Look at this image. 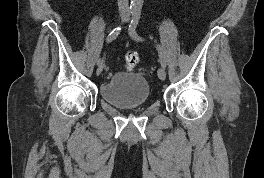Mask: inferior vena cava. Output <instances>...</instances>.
Returning a JSON list of instances; mask_svg holds the SVG:
<instances>
[{"label": "inferior vena cava", "mask_w": 264, "mask_h": 178, "mask_svg": "<svg viewBox=\"0 0 264 178\" xmlns=\"http://www.w3.org/2000/svg\"><path fill=\"white\" fill-rule=\"evenodd\" d=\"M118 8L121 13L129 12L128 0H118Z\"/></svg>", "instance_id": "obj_1"}]
</instances>
